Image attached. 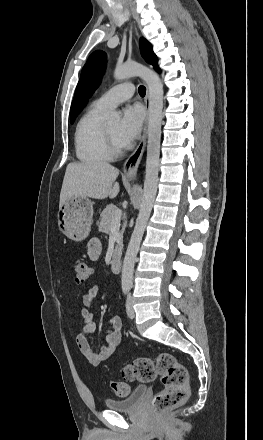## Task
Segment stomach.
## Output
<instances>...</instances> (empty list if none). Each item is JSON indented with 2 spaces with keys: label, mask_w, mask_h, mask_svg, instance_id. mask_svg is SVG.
<instances>
[{
  "label": "stomach",
  "mask_w": 263,
  "mask_h": 440,
  "mask_svg": "<svg viewBox=\"0 0 263 440\" xmlns=\"http://www.w3.org/2000/svg\"><path fill=\"white\" fill-rule=\"evenodd\" d=\"M93 217V202L87 197H72L59 206L58 225L62 233L71 240L82 241L90 232Z\"/></svg>",
  "instance_id": "1"
}]
</instances>
